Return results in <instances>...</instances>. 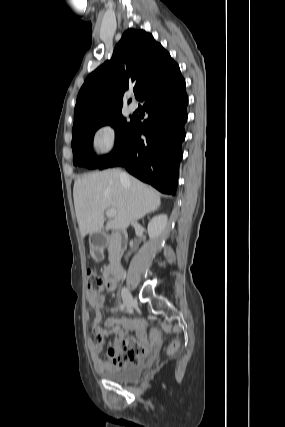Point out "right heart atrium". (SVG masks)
<instances>
[{"label":"right heart atrium","mask_w":285,"mask_h":427,"mask_svg":"<svg viewBox=\"0 0 285 427\" xmlns=\"http://www.w3.org/2000/svg\"><path fill=\"white\" fill-rule=\"evenodd\" d=\"M118 142L117 129L112 123L97 126L91 136V146L99 157H107L116 148Z\"/></svg>","instance_id":"d8ad5b80"}]
</instances>
